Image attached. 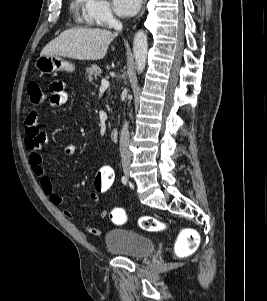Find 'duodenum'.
<instances>
[{
  "label": "duodenum",
  "instance_id": "1",
  "mask_svg": "<svg viewBox=\"0 0 267 301\" xmlns=\"http://www.w3.org/2000/svg\"><path fill=\"white\" fill-rule=\"evenodd\" d=\"M109 137L112 141H115L118 139L119 137V130L117 128H113L111 131H110V134H109Z\"/></svg>",
  "mask_w": 267,
  "mask_h": 301
}]
</instances>
